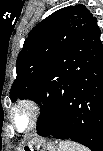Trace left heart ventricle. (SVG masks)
<instances>
[{"mask_svg":"<svg viewBox=\"0 0 103 151\" xmlns=\"http://www.w3.org/2000/svg\"><path fill=\"white\" fill-rule=\"evenodd\" d=\"M14 120L17 128L23 130L28 127L30 123V116L26 111L20 110L15 113Z\"/></svg>","mask_w":103,"mask_h":151,"instance_id":"obj_1","label":"left heart ventricle"}]
</instances>
